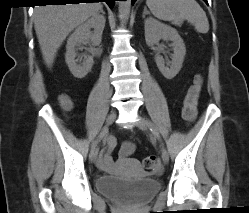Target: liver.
I'll return each instance as SVG.
<instances>
[{
	"mask_svg": "<svg viewBox=\"0 0 249 213\" xmlns=\"http://www.w3.org/2000/svg\"><path fill=\"white\" fill-rule=\"evenodd\" d=\"M101 8L100 2L35 6L34 28L48 67L52 66L58 49L69 33L98 14Z\"/></svg>",
	"mask_w": 249,
	"mask_h": 213,
	"instance_id": "liver-1",
	"label": "liver"
}]
</instances>
